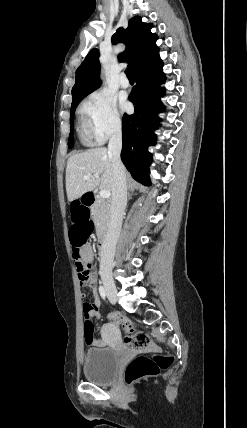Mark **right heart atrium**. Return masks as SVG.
Segmentation results:
<instances>
[{
    "mask_svg": "<svg viewBox=\"0 0 247 428\" xmlns=\"http://www.w3.org/2000/svg\"><path fill=\"white\" fill-rule=\"evenodd\" d=\"M86 111L96 141L104 142L121 131V117L113 97L109 94L105 92L92 94L86 103Z\"/></svg>",
    "mask_w": 247,
    "mask_h": 428,
    "instance_id": "d8ad5b80",
    "label": "right heart atrium"
}]
</instances>
